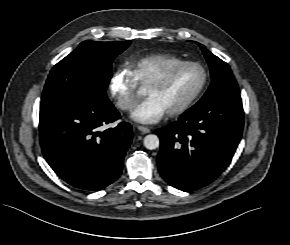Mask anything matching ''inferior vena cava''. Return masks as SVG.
<instances>
[{"label": "inferior vena cava", "mask_w": 290, "mask_h": 245, "mask_svg": "<svg viewBox=\"0 0 290 245\" xmlns=\"http://www.w3.org/2000/svg\"><path fill=\"white\" fill-rule=\"evenodd\" d=\"M120 106H121L122 109H129V110H131V109L134 108V104L131 101L126 100V99L121 100Z\"/></svg>", "instance_id": "inferior-vena-cava-1"}]
</instances>
